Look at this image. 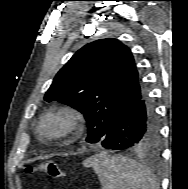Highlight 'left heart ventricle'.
Returning <instances> with one entry per match:
<instances>
[{"label": "left heart ventricle", "instance_id": "obj_1", "mask_svg": "<svg viewBox=\"0 0 188 189\" xmlns=\"http://www.w3.org/2000/svg\"><path fill=\"white\" fill-rule=\"evenodd\" d=\"M56 124L54 122H49L46 125V129H52Z\"/></svg>", "mask_w": 188, "mask_h": 189}]
</instances>
